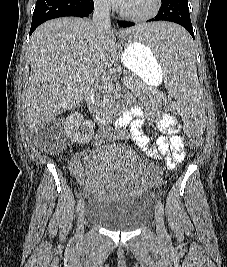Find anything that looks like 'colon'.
<instances>
[{
  "label": "colon",
  "instance_id": "5ec220e1",
  "mask_svg": "<svg viewBox=\"0 0 227 267\" xmlns=\"http://www.w3.org/2000/svg\"><path fill=\"white\" fill-rule=\"evenodd\" d=\"M167 116H176L178 109L175 108L174 104H165ZM38 141L40 144L49 151L58 152L61 151L66 144V134L60 125H50L38 132ZM197 142H186L183 157H181V164H189L191 158H195L200 153L199 149H196ZM161 191V188H158Z\"/></svg>",
  "mask_w": 227,
  "mask_h": 267
}]
</instances>
